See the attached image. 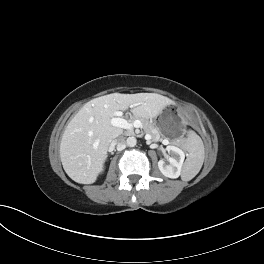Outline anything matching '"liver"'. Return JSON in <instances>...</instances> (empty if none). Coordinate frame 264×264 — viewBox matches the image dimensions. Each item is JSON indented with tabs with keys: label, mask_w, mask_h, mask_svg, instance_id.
<instances>
[{
	"label": "liver",
	"mask_w": 264,
	"mask_h": 264,
	"mask_svg": "<svg viewBox=\"0 0 264 264\" xmlns=\"http://www.w3.org/2000/svg\"><path fill=\"white\" fill-rule=\"evenodd\" d=\"M171 103L169 98L155 93H113L86 103L70 121L61 139L60 158L67 175L81 184L97 180L111 141L123 133L110 122L116 111L134 105V115L153 118Z\"/></svg>",
	"instance_id": "liver-1"
}]
</instances>
